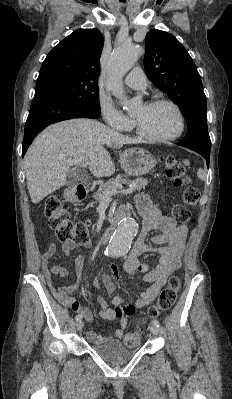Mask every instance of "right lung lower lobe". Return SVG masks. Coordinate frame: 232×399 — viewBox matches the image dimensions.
Returning <instances> with one entry per match:
<instances>
[{"instance_id":"right-lung-lower-lobe-1","label":"right lung lower lobe","mask_w":232,"mask_h":399,"mask_svg":"<svg viewBox=\"0 0 232 399\" xmlns=\"http://www.w3.org/2000/svg\"><path fill=\"white\" fill-rule=\"evenodd\" d=\"M100 112L73 101L50 89H35V95L25 124L22 157L33 139L48 125L73 118H98Z\"/></svg>"}]
</instances>
